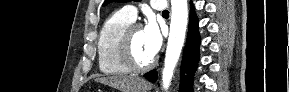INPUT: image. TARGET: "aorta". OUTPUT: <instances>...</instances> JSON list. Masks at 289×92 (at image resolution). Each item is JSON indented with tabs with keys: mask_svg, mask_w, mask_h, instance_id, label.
<instances>
[{
	"mask_svg": "<svg viewBox=\"0 0 289 92\" xmlns=\"http://www.w3.org/2000/svg\"><path fill=\"white\" fill-rule=\"evenodd\" d=\"M171 23L164 69L162 72L163 89L166 91L170 86L174 69L179 60L184 45L187 22L188 6L187 0H171Z\"/></svg>",
	"mask_w": 289,
	"mask_h": 92,
	"instance_id": "aorta-1",
	"label": "aorta"
}]
</instances>
